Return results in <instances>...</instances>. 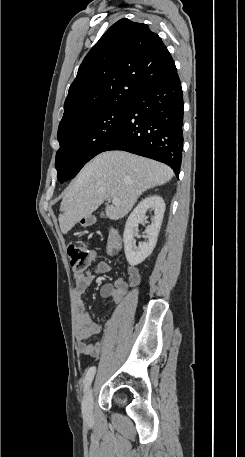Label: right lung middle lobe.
I'll return each mask as SVG.
<instances>
[{
	"label": "right lung middle lobe",
	"mask_w": 245,
	"mask_h": 457,
	"mask_svg": "<svg viewBox=\"0 0 245 457\" xmlns=\"http://www.w3.org/2000/svg\"><path fill=\"white\" fill-rule=\"evenodd\" d=\"M131 100H118L59 125L60 148L55 167L63 183L75 177L114 138L130 109Z\"/></svg>",
	"instance_id": "dd1d6c3e"
}]
</instances>
